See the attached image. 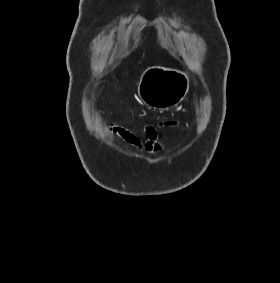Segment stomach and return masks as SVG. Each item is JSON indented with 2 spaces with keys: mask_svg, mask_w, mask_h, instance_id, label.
Segmentation results:
<instances>
[{
  "mask_svg": "<svg viewBox=\"0 0 280 283\" xmlns=\"http://www.w3.org/2000/svg\"><path fill=\"white\" fill-rule=\"evenodd\" d=\"M189 89V77L180 70L152 66L141 75L138 95L147 105L167 109L178 105Z\"/></svg>",
  "mask_w": 280,
  "mask_h": 283,
  "instance_id": "obj_1",
  "label": "stomach"
}]
</instances>
